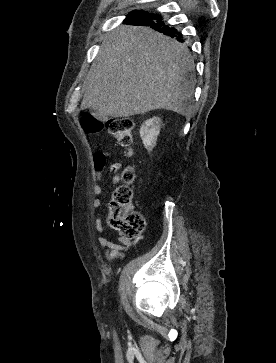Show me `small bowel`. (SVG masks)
Masks as SVG:
<instances>
[{
    "mask_svg": "<svg viewBox=\"0 0 276 363\" xmlns=\"http://www.w3.org/2000/svg\"><path fill=\"white\" fill-rule=\"evenodd\" d=\"M115 154L109 151H100L96 152L93 156V168H94V177L95 183L93 185L92 191L93 194L96 196L93 201L92 205L94 208H99L102 205V199L99 198L103 192L104 188L102 186V182L105 180L106 176L104 175V169L106 168L107 159L109 157L114 156ZM123 167L122 163L117 162L111 165V171H119ZM121 180L119 175H115L112 177L111 182L117 183ZM96 228L98 232L102 235L98 237V243L105 248V257L108 260H114L116 258H122L124 256L123 252L126 250L130 242L123 238H118L116 242L111 241L104 233V229L102 226L101 217L96 219Z\"/></svg>",
    "mask_w": 276,
    "mask_h": 363,
    "instance_id": "small-bowel-1",
    "label": "small bowel"
}]
</instances>
